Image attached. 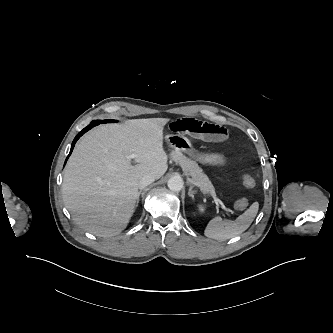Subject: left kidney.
Listing matches in <instances>:
<instances>
[{
    "instance_id": "left-kidney-1",
    "label": "left kidney",
    "mask_w": 333,
    "mask_h": 333,
    "mask_svg": "<svg viewBox=\"0 0 333 333\" xmlns=\"http://www.w3.org/2000/svg\"><path fill=\"white\" fill-rule=\"evenodd\" d=\"M204 210H205V207H204V206H202V205H200V206H199V211H200L201 213H203V212H204Z\"/></svg>"
}]
</instances>
